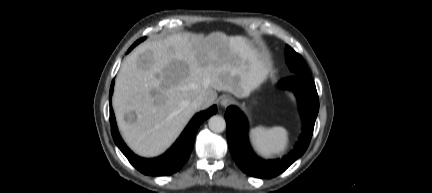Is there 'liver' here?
Wrapping results in <instances>:
<instances>
[{
  "label": "liver",
  "instance_id": "liver-1",
  "mask_svg": "<svg viewBox=\"0 0 432 193\" xmlns=\"http://www.w3.org/2000/svg\"><path fill=\"white\" fill-rule=\"evenodd\" d=\"M268 73V59L243 36L180 32L140 44L123 61L113 108L126 144L138 155L163 153L195 114L201 96L208 108L216 91L247 97ZM136 114L132 123L125 120Z\"/></svg>",
  "mask_w": 432,
  "mask_h": 193
}]
</instances>
